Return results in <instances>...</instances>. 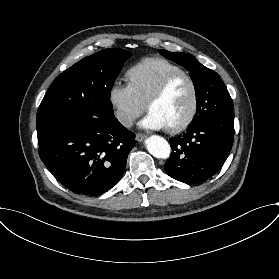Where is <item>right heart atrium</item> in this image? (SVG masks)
Masks as SVG:
<instances>
[{
	"mask_svg": "<svg viewBox=\"0 0 279 279\" xmlns=\"http://www.w3.org/2000/svg\"><path fill=\"white\" fill-rule=\"evenodd\" d=\"M107 98L115 120L123 127H129L146 108L129 84L118 81L110 86Z\"/></svg>",
	"mask_w": 279,
	"mask_h": 279,
	"instance_id": "1",
	"label": "right heart atrium"
}]
</instances>
